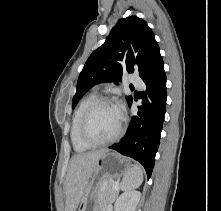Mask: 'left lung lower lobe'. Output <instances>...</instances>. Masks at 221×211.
I'll list each match as a JSON object with an SVG mask.
<instances>
[{"label": "left lung lower lobe", "instance_id": "left-lung-lower-lobe-1", "mask_svg": "<svg viewBox=\"0 0 221 211\" xmlns=\"http://www.w3.org/2000/svg\"><path fill=\"white\" fill-rule=\"evenodd\" d=\"M140 77L145 84L140 92L142 105L132 116L125 137L109 148L140 162L150 178L160 143L167 99L166 75L160 51L153 56ZM128 104L130 106L132 100Z\"/></svg>", "mask_w": 221, "mask_h": 211}]
</instances>
